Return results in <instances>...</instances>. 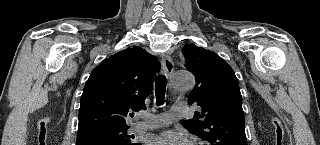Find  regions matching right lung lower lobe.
<instances>
[{
	"label": "right lung lower lobe",
	"mask_w": 320,
	"mask_h": 145,
	"mask_svg": "<svg viewBox=\"0 0 320 145\" xmlns=\"http://www.w3.org/2000/svg\"><path fill=\"white\" fill-rule=\"evenodd\" d=\"M76 145H118L110 140L96 136H80Z\"/></svg>",
	"instance_id": "98d812e1"
}]
</instances>
